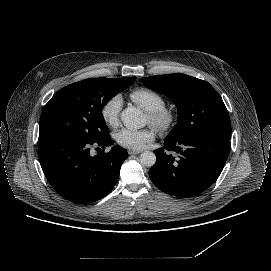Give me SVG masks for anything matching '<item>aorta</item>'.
Returning <instances> with one entry per match:
<instances>
[{
	"mask_svg": "<svg viewBox=\"0 0 271 271\" xmlns=\"http://www.w3.org/2000/svg\"><path fill=\"white\" fill-rule=\"evenodd\" d=\"M121 120L129 130L143 128L146 125L147 117L134 106L125 108L121 113ZM156 162V155L151 151H144L140 155V163L145 167H152Z\"/></svg>",
	"mask_w": 271,
	"mask_h": 271,
	"instance_id": "aorta-1",
	"label": "aorta"
}]
</instances>
